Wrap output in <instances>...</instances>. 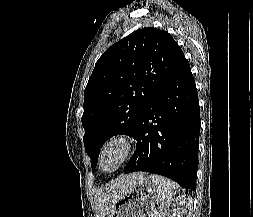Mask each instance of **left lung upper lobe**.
Wrapping results in <instances>:
<instances>
[{
  "label": "left lung upper lobe",
  "mask_w": 253,
  "mask_h": 217,
  "mask_svg": "<svg viewBox=\"0 0 253 217\" xmlns=\"http://www.w3.org/2000/svg\"><path fill=\"white\" fill-rule=\"evenodd\" d=\"M184 61L172 36L152 27L131 33L98 59L85 88L81 119L92 169L105 141L133 135L145 109Z\"/></svg>",
  "instance_id": "1"
}]
</instances>
